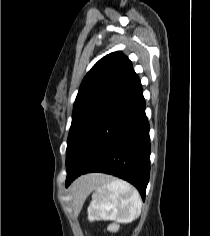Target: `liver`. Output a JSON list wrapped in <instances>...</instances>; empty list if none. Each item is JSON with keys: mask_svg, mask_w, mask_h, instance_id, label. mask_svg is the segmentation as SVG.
I'll use <instances>...</instances> for the list:
<instances>
[{"mask_svg": "<svg viewBox=\"0 0 210 236\" xmlns=\"http://www.w3.org/2000/svg\"><path fill=\"white\" fill-rule=\"evenodd\" d=\"M100 178H102V175H99V174H90V175L83 176L76 181L75 187L80 190L83 185L97 181Z\"/></svg>", "mask_w": 210, "mask_h": 236, "instance_id": "liver-1", "label": "liver"}]
</instances>
